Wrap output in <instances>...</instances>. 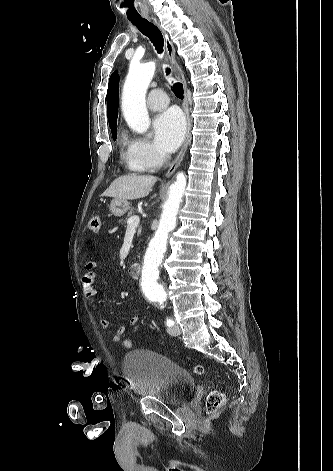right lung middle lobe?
Here are the masks:
<instances>
[{
    "instance_id": "right-lung-middle-lobe-1",
    "label": "right lung middle lobe",
    "mask_w": 333,
    "mask_h": 471,
    "mask_svg": "<svg viewBox=\"0 0 333 471\" xmlns=\"http://www.w3.org/2000/svg\"><path fill=\"white\" fill-rule=\"evenodd\" d=\"M113 140H116L117 137V128L112 132Z\"/></svg>"
}]
</instances>
